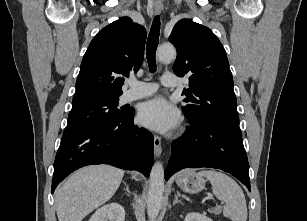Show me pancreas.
Segmentation results:
<instances>
[{
  "mask_svg": "<svg viewBox=\"0 0 307 221\" xmlns=\"http://www.w3.org/2000/svg\"><path fill=\"white\" fill-rule=\"evenodd\" d=\"M210 212L216 215H219L221 213V207H215L210 209Z\"/></svg>",
  "mask_w": 307,
  "mask_h": 221,
  "instance_id": "obj_1",
  "label": "pancreas"
}]
</instances>
